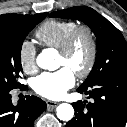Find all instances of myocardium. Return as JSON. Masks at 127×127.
Here are the masks:
<instances>
[{"label": "myocardium", "instance_id": "myocardium-1", "mask_svg": "<svg viewBox=\"0 0 127 127\" xmlns=\"http://www.w3.org/2000/svg\"><path fill=\"white\" fill-rule=\"evenodd\" d=\"M81 36H85L87 38L89 44V56L85 67L81 70L76 71L75 74L79 78H84L92 72L98 54L97 37L94 30L90 26H77L62 43L61 47L59 48V54L67 58L71 54L76 42Z\"/></svg>", "mask_w": 127, "mask_h": 127}]
</instances>
